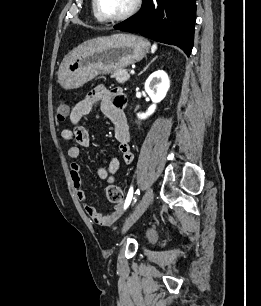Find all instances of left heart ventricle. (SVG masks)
<instances>
[{
    "mask_svg": "<svg viewBox=\"0 0 261 306\" xmlns=\"http://www.w3.org/2000/svg\"><path fill=\"white\" fill-rule=\"evenodd\" d=\"M134 0H98L101 13L108 17H115L127 12Z\"/></svg>",
    "mask_w": 261,
    "mask_h": 306,
    "instance_id": "1",
    "label": "left heart ventricle"
}]
</instances>
